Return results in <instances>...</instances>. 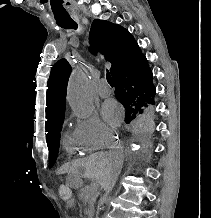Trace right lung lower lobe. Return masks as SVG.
Masks as SVG:
<instances>
[{"mask_svg":"<svg viewBox=\"0 0 211 218\" xmlns=\"http://www.w3.org/2000/svg\"><path fill=\"white\" fill-rule=\"evenodd\" d=\"M112 78L116 98L133 97L145 103H155L153 75L142 52L133 60L116 68Z\"/></svg>","mask_w":211,"mask_h":218,"instance_id":"right-lung-lower-lobe-1","label":"right lung lower lobe"}]
</instances>
